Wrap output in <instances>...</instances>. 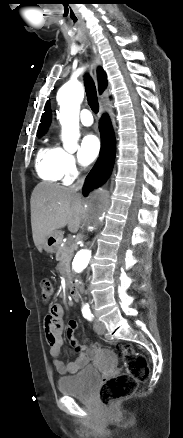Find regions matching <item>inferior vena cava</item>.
Segmentation results:
<instances>
[{"instance_id":"obj_1","label":"inferior vena cava","mask_w":183,"mask_h":438,"mask_svg":"<svg viewBox=\"0 0 183 438\" xmlns=\"http://www.w3.org/2000/svg\"><path fill=\"white\" fill-rule=\"evenodd\" d=\"M85 181V177H81L80 179L77 180V182L71 186V189L75 192L79 191L82 189L83 184Z\"/></svg>"}]
</instances>
